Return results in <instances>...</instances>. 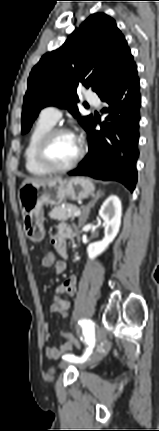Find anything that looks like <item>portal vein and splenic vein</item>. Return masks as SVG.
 <instances>
[{
	"instance_id": "portal-vein-and-splenic-vein-1",
	"label": "portal vein and splenic vein",
	"mask_w": 159,
	"mask_h": 431,
	"mask_svg": "<svg viewBox=\"0 0 159 431\" xmlns=\"http://www.w3.org/2000/svg\"><path fill=\"white\" fill-rule=\"evenodd\" d=\"M81 215V211L80 210H76L74 213H73V216H80Z\"/></svg>"
}]
</instances>
